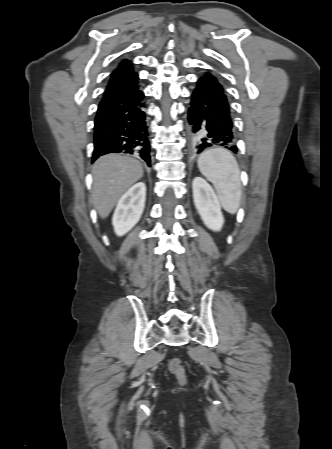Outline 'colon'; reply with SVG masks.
Segmentation results:
<instances>
[{"label":"colon","mask_w":332,"mask_h":449,"mask_svg":"<svg viewBox=\"0 0 332 449\" xmlns=\"http://www.w3.org/2000/svg\"><path fill=\"white\" fill-rule=\"evenodd\" d=\"M169 370L180 379L185 377L184 367L178 358H174L169 362Z\"/></svg>","instance_id":"5ec220e1"}]
</instances>
